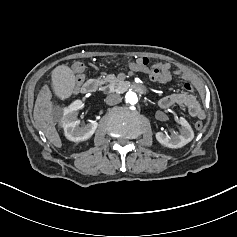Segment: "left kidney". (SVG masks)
I'll return each instance as SVG.
<instances>
[{
	"label": "left kidney",
	"instance_id": "obj_1",
	"mask_svg": "<svg viewBox=\"0 0 237 237\" xmlns=\"http://www.w3.org/2000/svg\"><path fill=\"white\" fill-rule=\"evenodd\" d=\"M178 123L182 126L178 134L176 133L169 136L162 132H156L155 138L162 146L177 149L192 141L194 132L188 121L184 117H180Z\"/></svg>",
	"mask_w": 237,
	"mask_h": 237
}]
</instances>
